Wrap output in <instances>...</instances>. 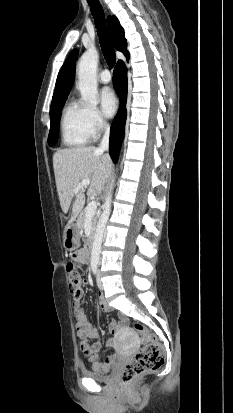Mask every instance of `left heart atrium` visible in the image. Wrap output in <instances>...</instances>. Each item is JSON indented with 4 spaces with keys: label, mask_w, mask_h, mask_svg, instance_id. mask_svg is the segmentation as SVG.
Segmentation results:
<instances>
[{
    "label": "left heart atrium",
    "mask_w": 233,
    "mask_h": 413,
    "mask_svg": "<svg viewBox=\"0 0 233 413\" xmlns=\"http://www.w3.org/2000/svg\"><path fill=\"white\" fill-rule=\"evenodd\" d=\"M100 102L103 113L111 117L117 110V97L114 91L109 88H103L100 93Z\"/></svg>",
    "instance_id": "obj_1"
}]
</instances>
